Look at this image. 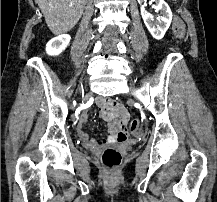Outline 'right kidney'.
I'll use <instances>...</instances> for the list:
<instances>
[{"label":"right kidney","mask_w":217,"mask_h":202,"mask_svg":"<svg viewBox=\"0 0 217 202\" xmlns=\"http://www.w3.org/2000/svg\"><path fill=\"white\" fill-rule=\"evenodd\" d=\"M71 38L68 34H64V36H57V38H52L49 40L46 46V52L49 56H58L61 54L65 48H67Z\"/></svg>","instance_id":"ca27d5eb"}]
</instances>
